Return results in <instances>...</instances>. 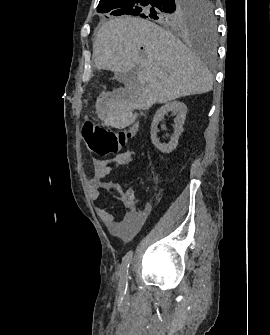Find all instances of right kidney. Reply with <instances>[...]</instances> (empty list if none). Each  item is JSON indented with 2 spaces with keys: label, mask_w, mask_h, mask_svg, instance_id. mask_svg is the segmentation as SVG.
<instances>
[{
  "label": "right kidney",
  "mask_w": 270,
  "mask_h": 335,
  "mask_svg": "<svg viewBox=\"0 0 270 335\" xmlns=\"http://www.w3.org/2000/svg\"><path fill=\"white\" fill-rule=\"evenodd\" d=\"M168 112H173L176 114V118L174 120V134L169 142V144H160L157 138L158 132V124L161 120H164V116L168 114ZM187 114V106L183 104V102H167L165 106H161L160 110H157L151 124V140L152 144H154L155 148H158L160 152H164V154H169L172 150H175L176 146H178L179 136H181L183 132V124L186 120Z\"/></svg>",
  "instance_id": "ca27d5eb"
}]
</instances>
